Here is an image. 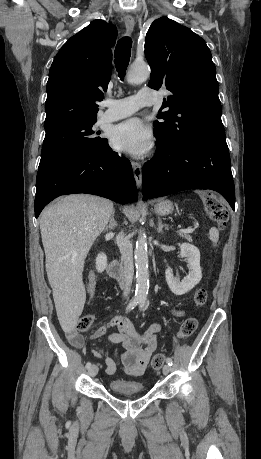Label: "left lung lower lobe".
<instances>
[{
  "instance_id": "left-lung-lower-lobe-1",
  "label": "left lung lower lobe",
  "mask_w": 261,
  "mask_h": 459,
  "mask_svg": "<svg viewBox=\"0 0 261 459\" xmlns=\"http://www.w3.org/2000/svg\"><path fill=\"white\" fill-rule=\"evenodd\" d=\"M156 138L154 158L142 169L144 200L188 189H211L234 210L235 190L225 135L199 137L184 146Z\"/></svg>"
}]
</instances>
